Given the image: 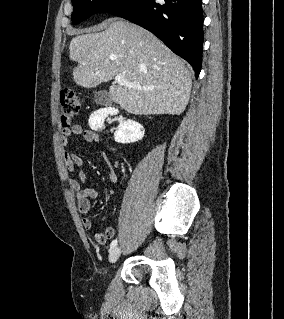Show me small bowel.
<instances>
[{"instance_id": "small-bowel-1", "label": "small bowel", "mask_w": 284, "mask_h": 319, "mask_svg": "<svg viewBox=\"0 0 284 319\" xmlns=\"http://www.w3.org/2000/svg\"><path fill=\"white\" fill-rule=\"evenodd\" d=\"M72 135L82 136L87 143H98L100 141V137L96 132L92 130H86L80 125H72L68 128H63L61 134L62 144L67 145L69 138ZM103 156L105 157L106 155L103 153ZM64 162L69 172L75 173L77 170V175L70 180V185L71 188L76 192L77 207L79 212L82 214V226L84 229L90 230L93 226L92 220L88 216L92 209L91 199L96 198L98 192L95 188L82 186L86 181L87 176L83 169L84 159L81 155L77 153L66 152L64 156ZM109 180L112 183L117 182L118 176L115 171H110ZM114 235L115 229L113 227H108L103 233L96 232L93 235V239L97 244H105L106 241L111 239Z\"/></svg>"}]
</instances>
